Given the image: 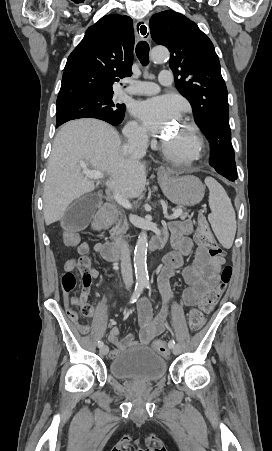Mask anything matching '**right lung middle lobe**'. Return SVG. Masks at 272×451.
Masks as SVG:
<instances>
[{"label":"right lung middle lobe","instance_id":"dd1d6c3e","mask_svg":"<svg viewBox=\"0 0 272 451\" xmlns=\"http://www.w3.org/2000/svg\"><path fill=\"white\" fill-rule=\"evenodd\" d=\"M56 124L76 118H97L118 125L124 118L125 105L116 103L113 95H87L57 99Z\"/></svg>","mask_w":272,"mask_h":451}]
</instances>
